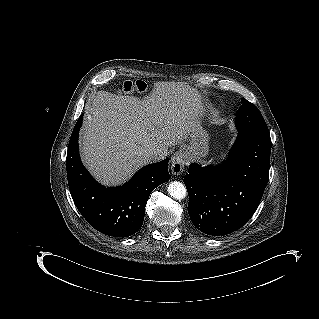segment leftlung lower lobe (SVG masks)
<instances>
[{"mask_svg": "<svg viewBox=\"0 0 319 319\" xmlns=\"http://www.w3.org/2000/svg\"><path fill=\"white\" fill-rule=\"evenodd\" d=\"M269 134L239 132L226 162L220 166H189L184 177L188 212L194 226L211 236L241 228L256 211L270 165Z\"/></svg>", "mask_w": 319, "mask_h": 319, "instance_id": "1", "label": "left lung lower lobe"}]
</instances>
